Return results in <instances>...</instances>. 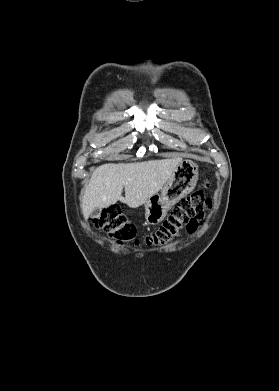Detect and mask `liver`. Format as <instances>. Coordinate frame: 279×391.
Returning a JSON list of instances; mask_svg holds the SVG:
<instances>
[{
  "label": "liver",
  "instance_id": "6515ba94",
  "mask_svg": "<svg viewBox=\"0 0 279 391\" xmlns=\"http://www.w3.org/2000/svg\"><path fill=\"white\" fill-rule=\"evenodd\" d=\"M182 158L150 160L126 164H103L93 172L86 187L81 208L85 219L94 209L121 201L139 207L157 194L169 180ZM125 188V197L122 190Z\"/></svg>",
  "mask_w": 279,
  "mask_h": 391
}]
</instances>
